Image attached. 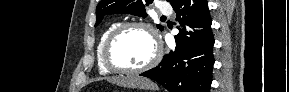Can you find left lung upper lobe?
<instances>
[{
  "mask_svg": "<svg viewBox=\"0 0 289 92\" xmlns=\"http://www.w3.org/2000/svg\"><path fill=\"white\" fill-rule=\"evenodd\" d=\"M172 3L174 0H167ZM152 3V0H101L96 8L97 21L95 26L101 23L103 17L108 14L123 13L146 17L145 6ZM162 31L163 26L157 25Z\"/></svg>",
  "mask_w": 289,
  "mask_h": 92,
  "instance_id": "left-lung-upper-lobe-1",
  "label": "left lung upper lobe"
}]
</instances>
